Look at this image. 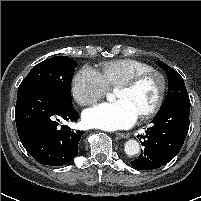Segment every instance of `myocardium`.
<instances>
[{"instance_id":"1","label":"myocardium","mask_w":201,"mask_h":201,"mask_svg":"<svg viewBox=\"0 0 201 201\" xmlns=\"http://www.w3.org/2000/svg\"><path fill=\"white\" fill-rule=\"evenodd\" d=\"M149 77H156L159 82V91L157 95V99L153 106L144 112L141 116H139V119L141 120H146L149 118H152L155 116L161 109L164 99H165V94L167 90V80L166 77L164 76L163 73L157 70H148L144 72L137 73L128 79L122 81L117 88H125V89H131L137 86L139 83H141L143 80L149 78Z\"/></svg>"}]
</instances>
